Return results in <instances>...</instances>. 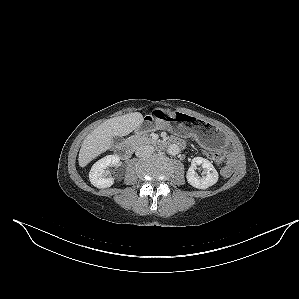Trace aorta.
Returning a JSON list of instances; mask_svg holds the SVG:
<instances>
[{
    "label": "aorta",
    "mask_w": 299,
    "mask_h": 299,
    "mask_svg": "<svg viewBox=\"0 0 299 299\" xmlns=\"http://www.w3.org/2000/svg\"><path fill=\"white\" fill-rule=\"evenodd\" d=\"M167 152L170 155H177L180 152V148L177 144H170L168 146Z\"/></svg>",
    "instance_id": "762f6f07"
}]
</instances>
